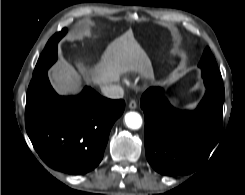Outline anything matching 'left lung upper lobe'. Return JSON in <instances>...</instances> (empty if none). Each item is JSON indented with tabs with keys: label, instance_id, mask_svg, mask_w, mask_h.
Returning a JSON list of instances; mask_svg holds the SVG:
<instances>
[{
	"label": "left lung upper lobe",
	"instance_id": "left-lung-upper-lobe-1",
	"mask_svg": "<svg viewBox=\"0 0 245 195\" xmlns=\"http://www.w3.org/2000/svg\"><path fill=\"white\" fill-rule=\"evenodd\" d=\"M199 67L202 69V77L204 80H211L217 83H222V77L217 63L208 47L203 52Z\"/></svg>",
	"mask_w": 245,
	"mask_h": 195
}]
</instances>
